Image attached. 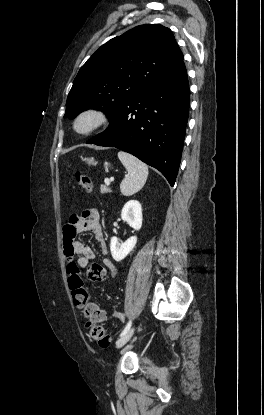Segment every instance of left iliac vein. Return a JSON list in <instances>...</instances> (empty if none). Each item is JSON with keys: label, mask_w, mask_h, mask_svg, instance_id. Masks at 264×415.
<instances>
[{"label": "left iliac vein", "mask_w": 264, "mask_h": 415, "mask_svg": "<svg viewBox=\"0 0 264 415\" xmlns=\"http://www.w3.org/2000/svg\"><path fill=\"white\" fill-rule=\"evenodd\" d=\"M135 331V328L132 327L129 329L124 335H122L117 341H116V347L121 348L124 346L132 337L133 333Z\"/></svg>", "instance_id": "4c4485c4"}]
</instances>
